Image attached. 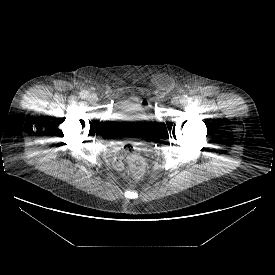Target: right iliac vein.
<instances>
[{
	"label": "right iliac vein",
	"mask_w": 275,
	"mask_h": 275,
	"mask_svg": "<svg viewBox=\"0 0 275 275\" xmlns=\"http://www.w3.org/2000/svg\"><path fill=\"white\" fill-rule=\"evenodd\" d=\"M88 99L90 102H96L98 98L95 94H90Z\"/></svg>",
	"instance_id": "1"
}]
</instances>
